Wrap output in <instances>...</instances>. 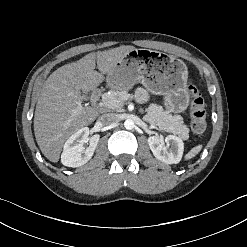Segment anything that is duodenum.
<instances>
[{
    "label": "duodenum",
    "instance_id": "obj_1",
    "mask_svg": "<svg viewBox=\"0 0 247 247\" xmlns=\"http://www.w3.org/2000/svg\"><path fill=\"white\" fill-rule=\"evenodd\" d=\"M101 92L100 90H96L94 93H93V97L96 99L100 96Z\"/></svg>",
    "mask_w": 247,
    "mask_h": 247
}]
</instances>
